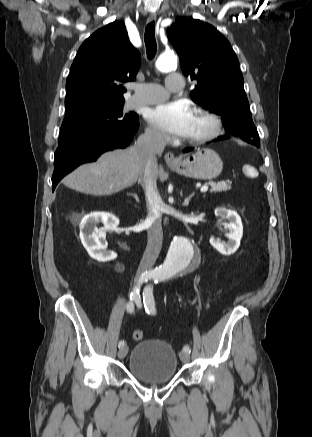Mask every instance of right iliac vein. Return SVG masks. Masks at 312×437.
<instances>
[{
	"instance_id": "obj_1",
	"label": "right iliac vein",
	"mask_w": 312,
	"mask_h": 437,
	"mask_svg": "<svg viewBox=\"0 0 312 437\" xmlns=\"http://www.w3.org/2000/svg\"><path fill=\"white\" fill-rule=\"evenodd\" d=\"M127 352H128V347L127 346L121 347L119 349V351H118L119 359H123L127 355Z\"/></svg>"
}]
</instances>
